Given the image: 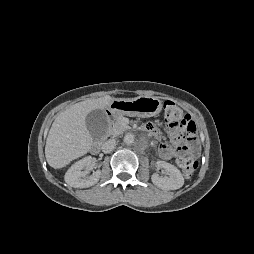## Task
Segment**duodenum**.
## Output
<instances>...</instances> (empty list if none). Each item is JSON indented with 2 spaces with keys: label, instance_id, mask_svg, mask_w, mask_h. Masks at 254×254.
<instances>
[{
  "label": "duodenum",
  "instance_id": "1",
  "mask_svg": "<svg viewBox=\"0 0 254 254\" xmlns=\"http://www.w3.org/2000/svg\"><path fill=\"white\" fill-rule=\"evenodd\" d=\"M115 115H116L115 112L110 111V112H108V114H107V118H108V119H112V118L115 117ZM99 152H100V145H99V143H94V144L92 145V147H91V153H92V154H98Z\"/></svg>",
  "mask_w": 254,
  "mask_h": 254
}]
</instances>
